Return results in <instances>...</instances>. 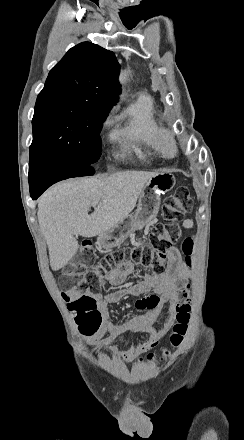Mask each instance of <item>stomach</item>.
I'll return each mask as SVG.
<instances>
[{
    "label": "stomach",
    "instance_id": "0dacf381",
    "mask_svg": "<svg viewBox=\"0 0 244 440\" xmlns=\"http://www.w3.org/2000/svg\"><path fill=\"white\" fill-rule=\"evenodd\" d=\"M176 178L171 172H159L153 178L147 180L138 200L137 210L131 216H127L123 222L116 224L110 230L99 234L97 244L100 248H116L129 234L136 230H142L148 222L157 218L161 204V196L173 190Z\"/></svg>",
    "mask_w": 244,
    "mask_h": 440
}]
</instances>
